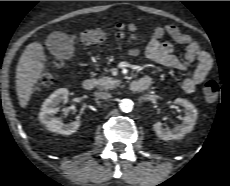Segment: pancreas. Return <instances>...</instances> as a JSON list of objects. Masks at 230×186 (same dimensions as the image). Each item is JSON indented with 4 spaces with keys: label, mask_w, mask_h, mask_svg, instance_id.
<instances>
[{
    "label": "pancreas",
    "mask_w": 230,
    "mask_h": 186,
    "mask_svg": "<svg viewBox=\"0 0 230 186\" xmlns=\"http://www.w3.org/2000/svg\"><path fill=\"white\" fill-rule=\"evenodd\" d=\"M96 83H97V88L99 90H109V89H113V88L119 86L121 81L106 76V77H102V78L98 79L96 81Z\"/></svg>",
    "instance_id": "pancreas-1"
}]
</instances>
